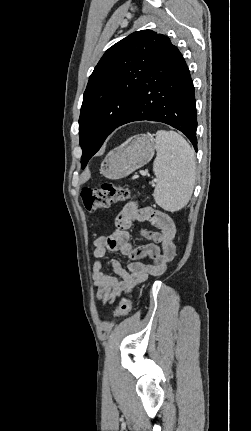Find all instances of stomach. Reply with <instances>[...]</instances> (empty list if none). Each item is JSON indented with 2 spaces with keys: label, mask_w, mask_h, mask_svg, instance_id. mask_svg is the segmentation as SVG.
<instances>
[{
  "label": "stomach",
  "mask_w": 251,
  "mask_h": 431,
  "mask_svg": "<svg viewBox=\"0 0 251 431\" xmlns=\"http://www.w3.org/2000/svg\"><path fill=\"white\" fill-rule=\"evenodd\" d=\"M155 146V141L151 136L136 135L107 154L100 172L111 180L124 178L153 158Z\"/></svg>",
  "instance_id": "1"
}]
</instances>
